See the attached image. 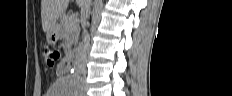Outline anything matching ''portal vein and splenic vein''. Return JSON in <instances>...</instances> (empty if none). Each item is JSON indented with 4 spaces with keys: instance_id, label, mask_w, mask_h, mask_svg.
I'll list each match as a JSON object with an SVG mask.
<instances>
[{
    "instance_id": "1",
    "label": "portal vein and splenic vein",
    "mask_w": 232,
    "mask_h": 96,
    "mask_svg": "<svg viewBox=\"0 0 232 96\" xmlns=\"http://www.w3.org/2000/svg\"><path fill=\"white\" fill-rule=\"evenodd\" d=\"M71 18H75V15L73 14V15L71 16Z\"/></svg>"
}]
</instances>
